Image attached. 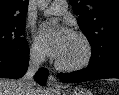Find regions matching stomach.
I'll use <instances>...</instances> for the list:
<instances>
[{"label": "stomach", "mask_w": 119, "mask_h": 95, "mask_svg": "<svg viewBox=\"0 0 119 95\" xmlns=\"http://www.w3.org/2000/svg\"><path fill=\"white\" fill-rule=\"evenodd\" d=\"M53 95H92V93L83 88H74L69 90H63L61 92H55Z\"/></svg>", "instance_id": "1"}]
</instances>
